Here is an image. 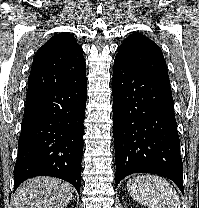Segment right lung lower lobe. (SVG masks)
Returning a JSON list of instances; mask_svg holds the SVG:
<instances>
[{"label": "right lung lower lobe", "mask_w": 199, "mask_h": 208, "mask_svg": "<svg viewBox=\"0 0 199 208\" xmlns=\"http://www.w3.org/2000/svg\"><path fill=\"white\" fill-rule=\"evenodd\" d=\"M86 85L84 77L73 84L27 94L14 191L36 176L61 178L80 191Z\"/></svg>", "instance_id": "1"}]
</instances>
